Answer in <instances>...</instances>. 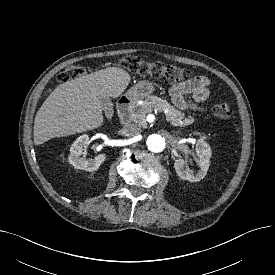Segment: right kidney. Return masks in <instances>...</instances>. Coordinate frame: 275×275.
<instances>
[{"mask_svg": "<svg viewBox=\"0 0 275 275\" xmlns=\"http://www.w3.org/2000/svg\"><path fill=\"white\" fill-rule=\"evenodd\" d=\"M89 144V136L87 134L81 135L70 147L69 163L76 169L85 171H95L105 161L106 155L99 154L93 159H83L81 157L83 148Z\"/></svg>", "mask_w": 275, "mask_h": 275, "instance_id": "right-kidney-1", "label": "right kidney"}]
</instances>
